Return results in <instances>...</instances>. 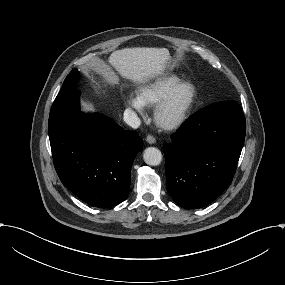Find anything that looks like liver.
Segmentation results:
<instances>
[{
    "label": "liver",
    "mask_w": 285,
    "mask_h": 285,
    "mask_svg": "<svg viewBox=\"0 0 285 285\" xmlns=\"http://www.w3.org/2000/svg\"><path fill=\"white\" fill-rule=\"evenodd\" d=\"M171 59L166 48L134 47L116 50L108 58V64L103 60H95L82 67V72L88 75V68L92 67L98 73L116 80L111 67L126 79L134 83H146L164 73L166 63ZM84 110H92L93 105L82 102Z\"/></svg>",
    "instance_id": "6515ba94"
}]
</instances>
